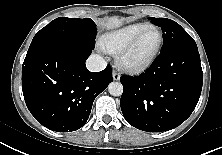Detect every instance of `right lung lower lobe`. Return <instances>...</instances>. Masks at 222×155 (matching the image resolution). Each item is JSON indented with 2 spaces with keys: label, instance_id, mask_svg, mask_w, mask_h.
<instances>
[{
  "label": "right lung lower lobe",
  "instance_id": "right-lung-lower-lobe-1",
  "mask_svg": "<svg viewBox=\"0 0 222 155\" xmlns=\"http://www.w3.org/2000/svg\"><path fill=\"white\" fill-rule=\"evenodd\" d=\"M94 45L62 43L26 57L22 90L35 119L57 132L74 131L87 122L94 99L113 81L108 65L90 72L85 62Z\"/></svg>",
  "mask_w": 222,
  "mask_h": 155
}]
</instances>
